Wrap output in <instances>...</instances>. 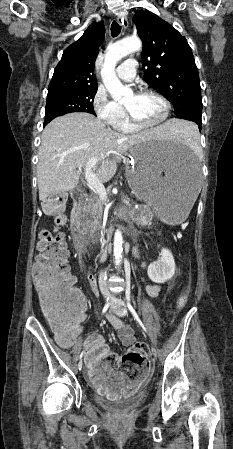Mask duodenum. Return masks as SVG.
Wrapping results in <instances>:
<instances>
[{
	"label": "duodenum",
	"instance_id": "410a0bca",
	"mask_svg": "<svg viewBox=\"0 0 233 449\" xmlns=\"http://www.w3.org/2000/svg\"><path fill=\"white\" fill-rule=\"evenodd\" d=\"M73 202L75 204L73 212H72V221L76 223L80 220V214L77 209L78 206H81L84 200L86 199V194L84 192H74L72 195ZM110 254V245H105L98 254L99 260H105Z\"/></svg>",
	"mask_w": 233,
	"mask_h": 449
}]
</instances>
